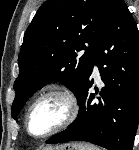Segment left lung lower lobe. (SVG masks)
<instances>
[{"instance_id": "obj_1", "label": "left lung lower lobe", "mask_w": 139, "mask_h": 150, "mask_svg": "<svg viewBox=\"0 0 139 150\" xmlns=\"http://www.w3.org/2000/svg\"><path fill=\"white\" fill-rule=\"evenodd\" d=\"M94 65L105 84L98 97L97 88L92 93L90 78ZM76 97L78 117L46 143L87 141L108 150H132L139 119V32L122 0L113 4L87 80Z\"/></svg>"}]
</instances>
